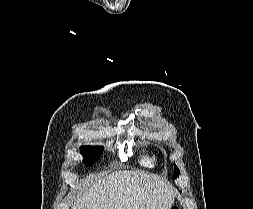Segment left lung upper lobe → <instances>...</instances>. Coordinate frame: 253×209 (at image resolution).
<instances>
[{
    "mask_svg": "<svg viewBox=\"0 0 253 209\" xmlns=\"http://www.w3.org/2000/svg\"><path fill=\"white\" fill-rule=\"evenodd\" d=\"M179 168L175 165L174 166V178L178 177L179 176Z\"/></svg>",
    "mask_w": 253,
    "mask_h": 209,
    "instance_id": "1",
    "label": "left lung upper lobe"
}]
</instances>
